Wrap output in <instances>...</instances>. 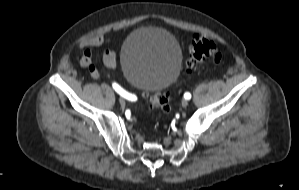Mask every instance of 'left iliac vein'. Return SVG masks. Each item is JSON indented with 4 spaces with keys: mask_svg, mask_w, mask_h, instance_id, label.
I'll use <instances>...</instances> for the list:
<instances>
[{
    "mask_svg": "<svg viewBox=\"0 0 299 190\" xmlns=\"http://www.w3.org/2000/svg\"><path fill=\"white\" fill-rule=\"evenodd\" d=\"M187 105H188V100L187 99L182 100V106L187 107Z\"/></svg>",
    "mask_w": 299,
    "mask_h": 190,
    "instance_id": "obj_1",
    "label": "left iliac vein"
}]
</instances>
